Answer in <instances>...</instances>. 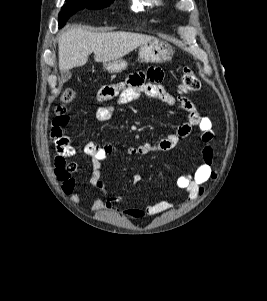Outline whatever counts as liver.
I'll use <instances>...</instances> for the list:
<instances>
[{"mask_svg":"<svg viewBox=\"0 0 267 301\" xmlns=\"http://www.w3.org/2000/svg\"><path fill=\"white\" fill-rule=\"evenodd\" d=\"M154 39L131 32L92 33L73 25L59 37V69L63 72L83 66L91 53L96 62L117 60Z\"/></svg>","mask_w":267,"mask_h":301,"instance_id":"1","label":"liver"}]
</instances>
